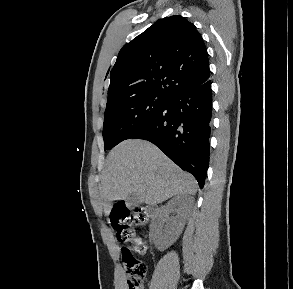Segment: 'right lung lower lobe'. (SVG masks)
<instances>
[{
    "label": "right lung lower lobe",
    "mask_w": 293,
    "mask_h": 289,
    "mask_svg": "<svg viewBox=\"0 0 293 289\" xmlns=\"http://www.w3.org/2000/svg\"><path fill=\"white\" fill-rule=\"evenodd\" d=\"M212 115L211 81L171 96L127 139H145L190 172L203 188L209 164Z\"/></svg>",
    "instance_id": "right-lung-lower-lobe-1"
}]
</instances>
